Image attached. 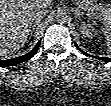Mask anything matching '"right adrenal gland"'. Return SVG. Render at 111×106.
<instances>
[{"label": "right adrenal gland", "mask_w": 111, "mask_h": 106, "mask_svg": "<svg viewBox=\"0 0 111 106\" xmlns=\"http://www.w3.org/2000/svg\"><path fill=\"white\" fill-rule=\"evenodd\" d=\"M38 24L37 21H35L31 27L30 36H32L33 30L35 29V26Z\"/></svg>", "instance_id": "1"}]
</instances>
